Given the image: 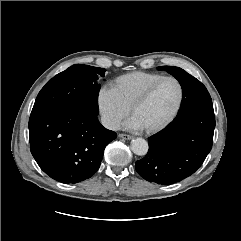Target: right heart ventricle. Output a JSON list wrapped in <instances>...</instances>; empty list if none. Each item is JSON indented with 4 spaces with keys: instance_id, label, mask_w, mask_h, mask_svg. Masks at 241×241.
Wrapping results in <instances>:
<instances>
[{
    "instance_id": "obj_1",
    "label": "right heart ventricle",
    "mask_w": 241,
    "mask_h": 241,
    "mask_svg": "<svg viewBox=\"0 0 241 241\" xmlns=\"http://www.w3.org/2000/svg\"><path fill=\"white\" fill-rule=\"evenodd\" d=\"M164 75L154 72L136 71L117 77L112 89L119 99L130 109L135 99L153 82Z\"/></svg>"
}]
</instances>
